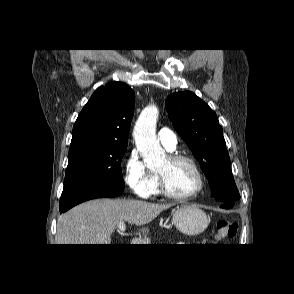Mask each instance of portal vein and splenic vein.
Segmentation results:
<instances>
[{
  "instance_id": "1",
  "label": "portal vein and splenic vein",
  "mask_w": 294,
  "mask_h": 294,
  "mask_svg": "<svg viewBox=\"0 0 294 294\" xmlns=\"http://www.w3.org/2000/svg\"><path fill=\"white\" fill-rule=\"evenodd\" d=\"M118 229H119V232H120V234L122 235V234H124V232H125V230H126V226H125V224L122 222V223H119L118 224Z\"/></svg>"
}]
</instances>
